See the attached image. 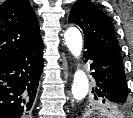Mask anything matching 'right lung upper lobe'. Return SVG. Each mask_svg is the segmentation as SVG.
I'll return each mask as SVG.
<instances>
[{
    "instance_id": "cb5924a9",
    "label": "right lung upper lobe",
    "mask_w": 133,
    "mask_h": 118,
    "mask_svg": "<svg viewBox=\"0 0 133 118\" xmlns=\"http://www.w3.org/2000/svg\"><path fill=\"white\" fill-rule=\"evenodd\" d=\"M28 0H7L0 6V62L42 41Z\"/></svg>"
}]
</instances>
